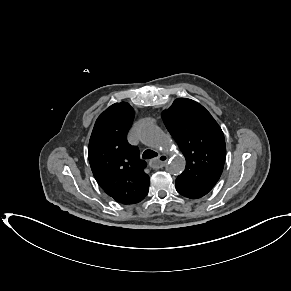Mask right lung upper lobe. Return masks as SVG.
<instances>
[{"label": "right lung upper lobe", "instance_id": "right-lung-upper-lobe-1", "mask_svg": "<svg viewBox=\"0 0 291 291\" xmlns=\"http://www.w3.org/2000/svg\"><path fill=\"white\" fill-rule=\"evenodd\" d=\"M133 118L134 110L128 103L111 105L96 120L88 148L96 181L122 204L138 203L149 191L146 162L140 159L139 149L127 142Z\"/></svg>", "mask_w": 291, "mask_h": 291}]
</instances>
